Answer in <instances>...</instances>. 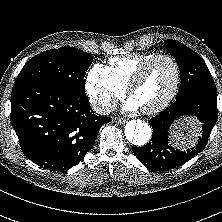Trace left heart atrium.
Here are the masks:
<instances>
[{
    "label": "left heart atrium",
    "mask_w": 222,
    "mask_h": 222,
    "mask_svg": "<svg viewBox=\"0 0 222 222\" xmlns=\"http://www.w3.org/2000/svg\"><path fill=\"white\" fill-rule=\"evenodd\" d=\"M125 108L127 110H137L140 108V105L134 97H131L127 100Z\"/></svg>",
    "instance_id": "left-heart-atrium-1"
}]
</instances>
